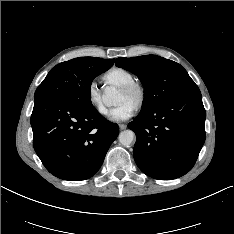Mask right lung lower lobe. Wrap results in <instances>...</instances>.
<instances>
[{
  "label": "right lung lower lobe",
  "instance_id": "98d812e1",
  "mask_svg": "<svg viewBox=\"0 0 234 234\" xmlns=\"http://www.w3.org/2000/svg\"><path fill=\"white\" fill-rule=\"evenodd\" d=\"M33 146L46 169L71 181L97 173L119 134L118 125L95 107H83L62 97L34 100L31 115Z\"/></svg>",
  "mask_w": 234,
  "mask_h": 234
}]
</instances>
